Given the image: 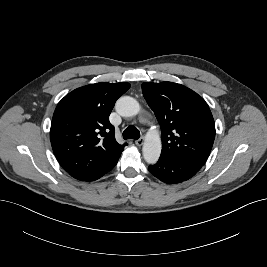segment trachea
I'll list each match as a JSON object with an SVG mask.
<instances>
[{
  "label": "trachea",
  "mask_w": 267,
  "mask_h": 267,
  "mask_svg": "<svg viewBox=\"0 0 267 267\" xmlns=\"http://www.w3.org/2000/svg\"><path fill=\"white\" fill-rule=\"evenodd\" d=\"M123 138L138 140L140 138V132L135 126L127 127L123 132Z\"/></svg>",
  "instance_id": "1"
}]
</instances>
